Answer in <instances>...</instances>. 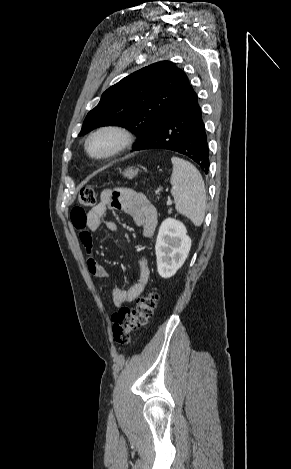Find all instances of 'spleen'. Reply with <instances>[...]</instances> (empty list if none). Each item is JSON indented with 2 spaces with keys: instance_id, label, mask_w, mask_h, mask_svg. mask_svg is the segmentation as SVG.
<instances>
[{
  "instance_id": "obj_1",
  "label": "spleen",
  "mask_w": 291,
  "mask_h": 469,
  "mask_svg": "<svg viewBox=\"0 0 291 469\" xmlns=\"http://www.w3.org/2000/svg\"><path fill=\"white\" fill-rule=\"evenodd\" d=\"M173 171L170 183L177 212L192 221L195 226L203 223L206 210V191L203 178L190 162L172 157Z\"/></svg>"
}]
</instances>
